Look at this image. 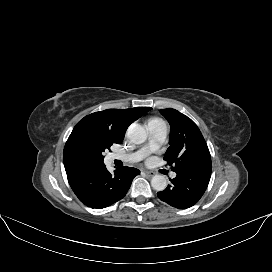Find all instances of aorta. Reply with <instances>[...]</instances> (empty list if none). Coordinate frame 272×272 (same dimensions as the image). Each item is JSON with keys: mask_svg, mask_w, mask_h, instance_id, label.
Segmentation results:
<instances>
[{"mask_svg": "<svg viewBox=\"0 0 272 272\" xmlns=\"http://www.w3.org/2000/svg\"><path fill=\"white\" fill-rule=\"evenodd\" d=\"M127 137L135 144H141L146 141L147 133L145 128L138 124L133 123L127 130ZM151 186L156 191H163L167 187V180L163 175H155L151 179Z\"/></svg>", "mask_w": 272, "mask_h": 272, "instance_id": "obj_1", "label": "aorta"}]
</instances>
